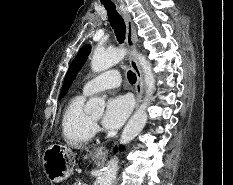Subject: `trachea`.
I'll return each instance as SVG.
<instances>
[{
  "label": "trachea",
  "instance_id": "1",
  "mask_svg": "<svg viewBox=\"0 0 233 185\" xmlns=\"http://www.w3.org/2000/svg\"><path fill=\"white\" fill-rule=\"evenodd\" d=\"M104 6L108 12L109 22L114 29L116 38L119 43H123L125 39V22L119 13L115 10V5L113 3H104ZM127 78L130 83L136 82V74L131 70L127 73Z\"/></svg>",
  "mask_w": 233,
  "mask_h": 185
}]
</instances>
